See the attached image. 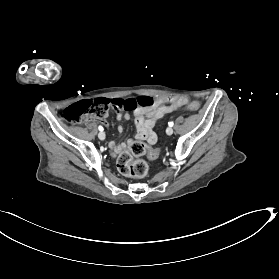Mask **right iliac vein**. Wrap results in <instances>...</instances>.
I'll use <instances>...</instances> for the list:
<instances>
[{
	"mask_svg": "<svg viewBox=\"0 0 279 279\" xmlns=\"http://www.w3.org/2000/svg\"><path fill=\"white\" fill-rule=\"evenodd\" d=\"M105 137H106V135H105L104 132H100V133L98 134V138H99L100 140H104Z\"/></svg>",
	"mask_w": 279,
	"mask_h": 279,
	"instance_id": "right-iliac-vein-1",
	"label": "right iliac vein"
}]
</instances>
